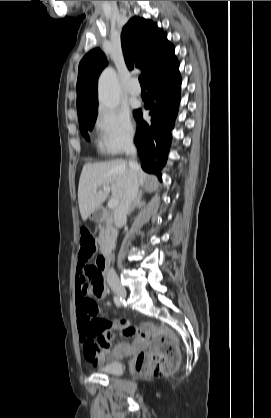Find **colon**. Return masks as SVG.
Returning a JSON list of instances; mask_svg holds the SVG:
<instances>
[{"label": "colon", "mask_w": 271, "mask_h": 418, "mask_svg": "<svg viewBox=\"0 0 271 418\" xmlns=\"http://www.w3.org/2000/svg\"><path fill=\"white\" fill-rule=\"evenodd\" d=\"M96 248V241L92 233L83 229L80 236V262H88L95 255ZM153 333L154 341L138 355L135 366L137 371L145 374L156 377L167 376L178 368L180 362V353L175 344V337L165 328H154Z\"/></svg>", "instance_id": "obj_1"}]
</instances>
